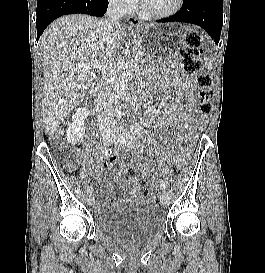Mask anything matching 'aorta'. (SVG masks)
Masks as SVG:
<instances>
[{
    "label": "aorta",
    "mask_w": 265,
    "mask_h": 273,
    "mask_svg": "<svg viewBox=\"0 0 265 273\" xmlns=\"http://www.w3.org/2000/svg\"><path fill=\"white\" fill-rule=\"evenodd\" d=\"M132 76H133L132 70L130 68L126 69L124 73L122 74V77L119 78V80L115 83V86L113 89V94H112L113 95L112 101L114 103L113 111H114L115 117L118 120H120L122 117L120 98L124 94V91L129 81L131 80Z\"/></svg>",
    "instance_id": "aorta-1"
}]
</instances>
